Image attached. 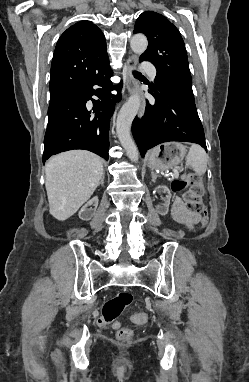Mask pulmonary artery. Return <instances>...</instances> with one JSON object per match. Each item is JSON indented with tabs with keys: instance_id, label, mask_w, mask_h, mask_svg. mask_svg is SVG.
Masks as SVG:
<instances>
[{
	"instance_id": "e3ab8cb5",
	"label": "pulmonary artery",
	"mask_w": 249,
	"mask_h": 382,
	"mask_svg": "<svg viewBox=\"0 0 249 382\" xmlns=\"http://www.w3.org/2000/svg\"><path fill=\"white\" fill-rule=\"evenodd\" d=\"M143 67H144V69H146L149 72L150 77L152 79L156 78V70H155V68L151 64L144 63Z\"/></svg>"
}]
</instances>
